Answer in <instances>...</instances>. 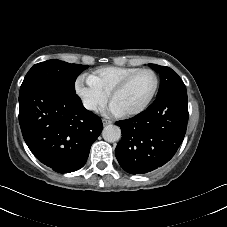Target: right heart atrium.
I'll use <instances>...</instances> for the list:
<instances>
[{
	"instance_id": "obj_1",
	"label": "right heart atrium",
	"mask_w": 227,
	"mask_h": 227,
	"mask_svg": "<svg viewBox=\"0 0 227 227\" xmlns=\"http://www.w3.org/2000/svg\"><path fill=\"white\" fill-rule=\"evenodd\" d=\"M75 93L85 108L101 110L109 99V93L100 88L89 77L80 76L75 83Z\"/></svg>"
}]
</instances>
